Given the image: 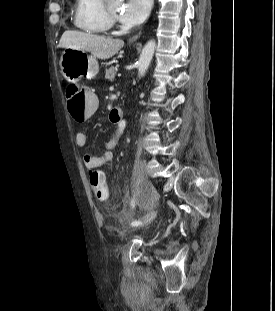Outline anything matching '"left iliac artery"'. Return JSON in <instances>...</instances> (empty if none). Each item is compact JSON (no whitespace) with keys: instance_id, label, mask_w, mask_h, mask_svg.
<instances>
[{"instance_id":"left-iliac-artery-1","label":"left iliac artery","mask_w":275,"mask_h":311,"mask_svg":"<svg viewBox=\"0 0 275 311\" xmlns=\"http://www.w3.org/2000/svg\"><path fill=\"white\" fill-rule=\"evenodd\" d=\"M131 207H132V208L135 207V201H134V199L131 200ZM140 223H141L140 221L134 220V221L131 222V225H132V226H138Z\"/></svg>"}]
</instances>
